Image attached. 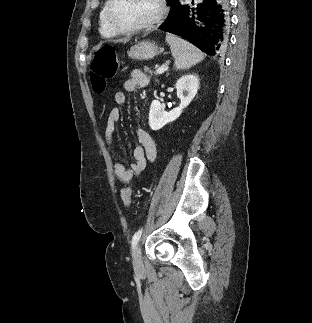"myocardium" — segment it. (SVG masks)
<instances>
[{
    "label": "myocardium",
    "instance_id": "1",
    "mask_svg": "<svg viewBox=\"0 0 312 323\" xmlns=\"http://www.w3.org/2000/svg\"><path fill=\"white\" fill-rule=\"evenodd\" d=\"M108 5L104 12L106 21H110V31H147L148 25H158L159 21H166L168 15L167 0H154L158 5L154 18L149 20H120L115 13L119 0H107Z\"/></svg>",
    "mask_w": 312,
    "mask_h": 323
}]
</instances>
